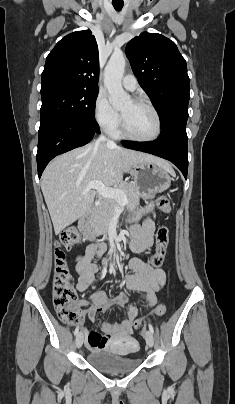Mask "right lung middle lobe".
<instances>
[{
  "mask_svg": "<svg viewBox=\"0 0 235 404\" xmlns=\"http://www.w3.org/2000/svg\"><path fill=\"white\" fill-rule=\"evenodd\" d=\"M98 90H86L63 83L41 85V121L64 117L76 121H95V101Z\"/></svg>",
  "mask_w": 235,
  "mask_h": 404,
  "instance_id": "right-lung-middle-lobe-1",
  "label": "right lung middle lobe"
}]
</instances>
